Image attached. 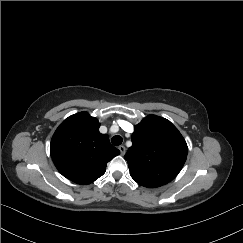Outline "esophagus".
<instances>
[{
    "mask_svg": "<svg viewBox=\"0 0 243 243\" xmlns=\"http://www.w3.org/2000/svg\"><path fill=\"white\" fill-rule=\"evenodd\" d=\"M118 149L120 150L121 155H124V154H125V152H126V148H125L124 145H120V146L118 147Z\"/></svg>",
    "mask_w": 243,
    "mask_h": 243,
    "instance_id": "1",
    "label": "esophagus"
}]
</instances>
